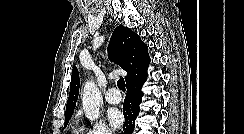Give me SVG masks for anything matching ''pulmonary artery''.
Instances as JSON below:
<instances>
[{
	"label": "pulmonary artery",
	"mask_w": 244,
	"mask_h": 134,
	"mask_svg": "<svg viewBox=\"0 0 244 134\" xmlns=\"http://www.w3.org/2000/svg\"><path fill=\"white\" fill-rule=\"evenodd\" d=\"M105 99L109 104H118L121 101V95L116 88H110L105 94Z\"/></svg>",
	"instance_id": "obj_1"
}]
</instances>
